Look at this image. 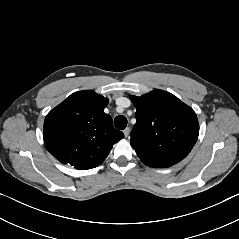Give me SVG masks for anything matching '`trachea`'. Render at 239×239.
I'll return each instance as SVG.
<instances>
[{
	"label": "trachea",
	"instance_id": "obj_1",
	"mask_svg": "<svg viewBox=\"0 0 239 239\" xmlns=\"http://www.w3.org/2000/svg\"><path fill=\"white\" fill-rule=\"evenodd\" d=\"M114 125L117 129L123 130L127 126V119L123 115H119L114 119Z\"/></svg>",
	"mask_w": 239,
	"mask_h": 239
}]
</instances>
